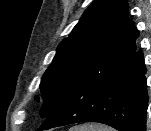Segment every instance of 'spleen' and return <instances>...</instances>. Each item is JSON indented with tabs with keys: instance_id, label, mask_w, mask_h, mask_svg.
<instances>
[{
	"instance_id": "1",
	"label": "spleen",
	"mask_w": 151,
	"mask_h": 131,
	"mask_svg": "<svg viewBox=\"0 0 151 131\" xmlns=\"http://www.w3.org/2000/svg\"><path fill=\"white\" fill-rule=\"evenodd\" d=\"M70 131H115L114 129L100 124H84L74 126Z\"/></svg>"
}]
</instances>
